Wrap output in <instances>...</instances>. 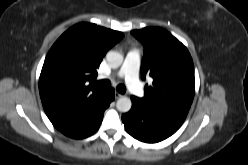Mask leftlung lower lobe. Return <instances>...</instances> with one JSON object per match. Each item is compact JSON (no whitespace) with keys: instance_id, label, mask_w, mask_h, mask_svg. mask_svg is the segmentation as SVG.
I'll use <instances>...</instances> for the list:
<instances>
[{"instance_id":"1","label":"left lung lower lobe","mask_w":248,"mask_h":165,"mask_svg":"<svg viewBox=\"0 0 248 165\" xmlns=\"http://www.w3.org/2000/svg\"><path fill=\"white\" fill-rule=\"evenodd\" d=\"M132 108L122 115L126 131L139 141L156 143L174 134L184 120L147 108L131 97Z\"/></svg>"}]
</instances>
